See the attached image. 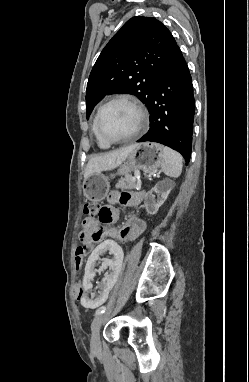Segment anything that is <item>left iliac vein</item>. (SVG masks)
Returning <instances> with one entry per match:
<instances>
[{"label": "left iliac vein", "mask_w": 249, "mask_h": 382, "mask_svg": "<svg viewBox=\"0 0 249 382\" xmlns=\"http://www.w3.org/2000/svg\"><path fill=\"white\" fill-rule=\"evenodd\" d=\"M105 318V314H98L94 317L92 324H91V348L92 351L98 352L101 349V343H100V327L103 323V320Z\"/></svg>", "instance_id": "left-iliac-vein-1"}]
</instances>
